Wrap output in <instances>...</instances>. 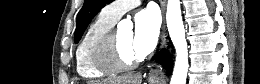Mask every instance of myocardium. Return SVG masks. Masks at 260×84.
I'll list each match as a JSON object with an SVG mask.
<instances>
[{
    "mask_svg": "<svg viewBox=\"0 0 260 84\" xmlns=\"http://www.w3.org/2000/svg\"><path fill=\"white\" fill-rule=\"evenodd\" d=\"M116 30L111 28L99 40L96 48V66L108 73H120L136 68L142 61L141 57L124 60L119 52Z\"/></svg>",
    "mask_w": 260,
    "mask_h": 84,
    "instance_id": "myocardium-1",
    "label": "myocardium"
}]
</instances>
